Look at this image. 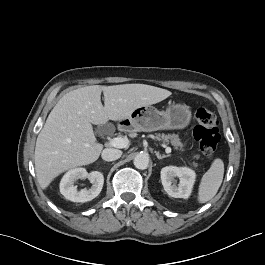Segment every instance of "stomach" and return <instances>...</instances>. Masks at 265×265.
<instances>
[{"label":"stomach","mask_w":265,"mask_h":265,"mask_svg":"<svg viewBox=\"0 0 265 265\" xmlns=\"http://www.w3.org/2000/svg\"><path fill=\"white\" fill-rule=\"evenodd\" d=\"M191 121L189 107L172 103L165 111H159L152 106H142L135 109L129 118L122 120V126L128 131H157L184 129Z\"/></svg>","instance_id":"obj_1"}]
</instances>
